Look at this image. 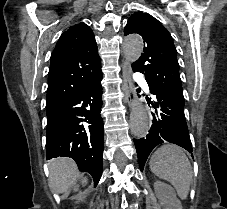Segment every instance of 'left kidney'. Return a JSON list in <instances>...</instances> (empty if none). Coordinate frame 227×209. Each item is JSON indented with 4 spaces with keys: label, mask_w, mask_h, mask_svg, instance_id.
<instances>
[{
    "label": "left kidney",
    "mask_w": 227,
    "mask_h": 209,
    "mask_svg": "<svg viewBox=\"0 0 227 209\" xmlns=\"http://www.w3.org/2000/svg\"><path fill=\"white\" fill-rule=\"evenodd\" d=\"M154 191L163 209H182V205L179 199H177L173 187H170L167 183L156 181L154 183Z\"/></svg>",
    "instance_id": "obj_1"
}]
</instances>
